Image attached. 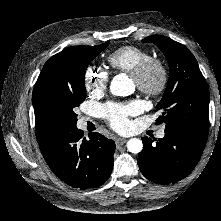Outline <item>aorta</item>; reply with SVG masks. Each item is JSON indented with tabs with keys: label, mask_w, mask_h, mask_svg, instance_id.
<instances>
[{
	"label": "aorta",
	"mask_w": 221,
	"mask_h": 221,
	"mask_svg": "<svg viewBox=\"0 0 221 221\" xmlns=\"http://www.w3.org/2000/svg\"><path fill=\"white\" fill-rule=\"evenodd\" d=\"M110 91L115 96H127L134 92V85L126 74H118L111 81ZM127 149L137 154L142 151L143 143L138 138H131L127 142Z\"/></svg>",
	"instance_id": "obj_1"
}]
</instances>
